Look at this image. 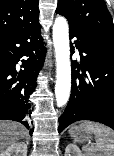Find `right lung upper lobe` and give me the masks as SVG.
I'll return each instance as SVG.
<instances>
[{
	"instance_id": "obj_1",
	"label": "right lung upper lobe",
	"mask_w": 114,
	"mask_h": 156,
	"mask_svg": "<svg viewBox=\"0 0 114 156\" xmlns=\"http://www.w3.org/2000/svg\"><path fill=\"white\" fill-rule=\"evenodd\" d=\"M38 0H0V39L39 19Z\"/></svg>"
}]
</instances>
